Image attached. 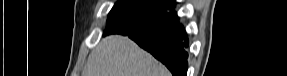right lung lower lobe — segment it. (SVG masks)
Masks as SVG:
<instances>
[{"instance_id":"98d812e1","label":"right lung lower lobe","mask_w":287,"mask_h":76,"mask_svg":"<svg viewBox=\"0 0 287 76\" xmlns=\"http://www.w3.org/2000/svg\"><path fill=\"white\" fill-rule=\"evenodd\" d=\"M127 35L165 64L173 76H186L188 54L184 47L188 39L175 12L167 13L142 32Z\"/></svg>"}]
</instances>
